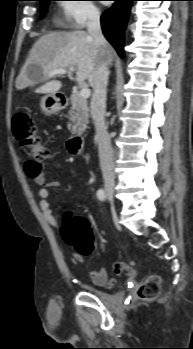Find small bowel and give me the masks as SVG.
<instances>
[{"label":"small bowel","instance_id":"1","mask_svg":"<svg viewBox=\"0 0 193 349\" xmlns=\"http://www.w3.org/2000/svg\"><path fill=\"white\" fill-rule=\"evenodd\" d=\"M25 171L26 174L32 178L39 186L40 189L38 191L39 196V207L41 209L42 215L44 219L53 227L57 228L58 223L54 215L53 208L49 201L50 190L49 186L56 187L57 184L54 182L49 183L46 178L45 172L42 170L41 165H37L31 161H27L25 163ZM72 195L75 198H78V194L73 192ZM73 257L78 262H83V257L81 254L74 253ZM113 270L115 273L120 274L122 272H131L129 268H121L118 265L113 266ZM89 277L92 283L96 286H111L114 281H109V273L108 270L104 267L92 270L89 272Z\"/></svg>","mask_w":193,"mask_h":349}]
</instances>
